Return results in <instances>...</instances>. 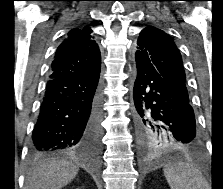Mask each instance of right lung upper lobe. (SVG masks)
<instances>
[{
	"instance_id": "right-lung-upper-lobe-1",
	"label": "right lung upper lobe",
	"mask_w": 223,
	"mask_h": 189,
	"mask_svg": "<svg viewBox=\"0 0 223 189\" xmlns=\"http://www.w3.org/2000/svg\"><path fill=\"white\" fill-rule=\"evenodd\" d=\"M100 65V51L91 28H74L56 50L49 78L84 77L99 71Z\"/></svg>"
}]
</instances>
